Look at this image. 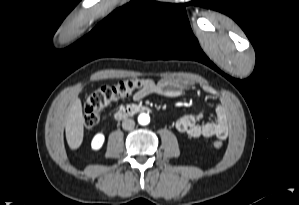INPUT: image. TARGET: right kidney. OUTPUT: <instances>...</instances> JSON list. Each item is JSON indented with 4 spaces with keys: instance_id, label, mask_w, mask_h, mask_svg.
<instances>
[{
    "instance_id": "ca27d5eb",
    "label": "right kidney",
    "mask_w": 299,
    "mask_h": 205,
    "mask_svg": "<svg viewBox=\"0 0 299 205\" xmlns=\"http://www.w3.org/2000/svg\"><path fill=\"white\" fill-rule=\"evenodd\" d=\"M104 140H105V136L104 134L102 133H97L93 139H92V142H91V147L93 150H99L103 143H104Z\"/></svg>"
}]
</instances>
